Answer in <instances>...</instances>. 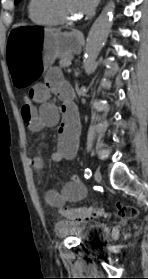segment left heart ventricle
I'll list each match as a JSON object with an SVG mask.
<instances>
[{
	"mask_svg": "<svg viewBox=\"0 0 148 279\" xmlns=\"http://www.w3.org/2000/svg\"><path fill=\"white\" fill-rule=\"evenodd\" d=\"M58 4L65 15L70 17H78L80 15L76 0H58Z\"/></svg>",
	"mask_w": 148,
	"mask_h": 279,
	"instance_id": "b2bd125f",
	"label": "left heart ventricle"
}]
</instances>
